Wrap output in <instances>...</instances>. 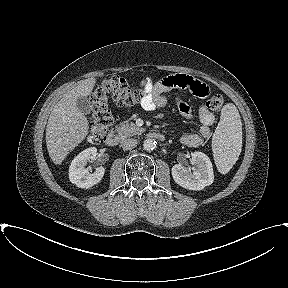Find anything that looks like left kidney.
<instances>
[{
	"instance_id": "1",
	"label": "left kidney",
	"mask_w": 288,
	"mask_h": 288,
	"mask_svg": "<svg viewBox=\"0 0 288 288\" xmlns=\"http://www.w3.org/2000/svg\"><path fill=\"white\" fill-rule=\"evenodd\" d=\"M191 163L197 167L192 173L190 169L181 164L172 167L174 181L185 189L195 191H200L211 185L214 181V173L209 157L196 151L191 154Z\"/></svg>"
}]
</instances>
